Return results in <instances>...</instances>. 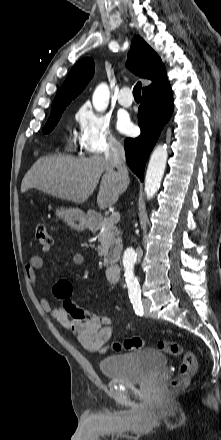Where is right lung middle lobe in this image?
<instances>
[{"instance_id":"right-lung-middle-lobe-1","label":"right lung middle lobe","mask_w":221,"mask_h":440,"mask_svg":"<svg viewBox=\"0 0 221 440\" xmlns=\"http://www.w3.org/2000/svg\"><path fill=\"white\" fill-rule=\"evenodd\" d=\"M65 108L66 107L63 106V107L51 109V115H50L45 127L42 130L44 133H49L50 131H52L54 129V127L58 123V121L61 117V114L63 113Z\"/></svg>"}]
</instances>
